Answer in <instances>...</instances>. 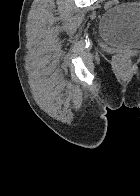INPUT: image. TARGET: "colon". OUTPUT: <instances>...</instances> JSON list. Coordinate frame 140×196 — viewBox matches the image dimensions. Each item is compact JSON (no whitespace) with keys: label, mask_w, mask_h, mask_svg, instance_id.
<instances>
[{"label":"colon","mask_w":140,"mask_h":196,"mask_svg":"<svg viewBox=\"0 0 140 196\" xmlns=\"http://www.w3.org/2000/svg\"><path fill=\"white\" fill-rule=\"evenodd\" d=\"M118 4V0H108L105 4V8H112ZM114 62L116 66L124 71L129 67L130 57L124 52H118L114 55Z\"/></svg>","instance_id":"colon-1"}]
</instances>
